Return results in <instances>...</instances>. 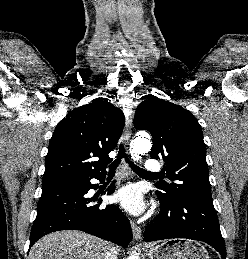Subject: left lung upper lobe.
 Wrapping results in <instances>:
<instances>
[{
	"label": "left lung upper lobe",
	"instance_id": "1",
	"mask_svg": "<svg viewBox=\"0 0 248 259\" xmlns=\"http://www.w3.org/2000/svg\"><path fill=\"white\" fill-rule=\"evenodd\" d=\"M134 126L152 134L150 156L165 163L169 182L158 181L156 193L167 200L212 201L201 126L188 110L149 95L136 109Z\"/></svg>",
	"mask_w": 248,
	"mask_h": 259
}]
</instances>
